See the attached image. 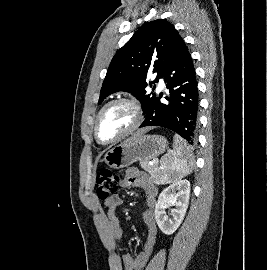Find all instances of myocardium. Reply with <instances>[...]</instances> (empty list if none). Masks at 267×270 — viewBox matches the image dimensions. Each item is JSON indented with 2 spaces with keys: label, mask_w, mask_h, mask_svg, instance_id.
<instances>
[{
  "label": "myocardium",
  "mask_w": 267,
  "mask_h": 270,
  "mask_svg": "<svg viewBox=\"0 0 267 270\" xmlns=\"http://www.w3.org/2000/svg\"><path fill=\"white\" fill-rule=\"evenodd\" d=\"M121 103L131 106V108L134 110V113H135L134 123L131 125V127L129 129H127L125 132H123L118 137H116L112 140H109V141H103L100 138L99 131H98L100 117L107 108H109L112 105L121 104ZM142 121H143V110H142L140 103L137 100H135L134 98H130V97H120L117 99H113V100L107 102L99 110V112L95 118V123H94V137L99 144L111 145V144L119 142L120 140L124 139L125 137H127L128 135L133 133L136 129H138V127L141 125Z\"/></svg>",
  "instance_id": "myocardium-1"
}]
</instances>
